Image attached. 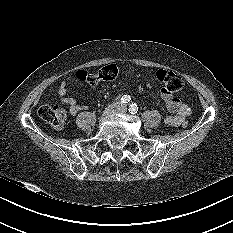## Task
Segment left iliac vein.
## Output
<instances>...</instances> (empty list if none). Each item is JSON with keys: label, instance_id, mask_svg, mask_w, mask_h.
I'll use <instances>...</instances> for the list:
<instances>
[{"label": "left iliac vein", "instance_id": "1", "mask_svg": "<svg viewBox=\"0 0 233 233\" xmlns=\"http://www.w3.org/2000/svg\"><path fill=\"white\" fill-rule=\"evenodd\" d=\"M117 112L122 113V114L125 113L126 112V107L122 106L120 109H118Z\"/></svg>", "mask_w": 233, "mask_h": 233}]
</instances>
